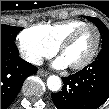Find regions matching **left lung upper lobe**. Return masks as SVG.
<instances>
[{
  "mask_svg": "<svg viewBox=\"0 0 109 109\" xmlns=\"http://www.w3.org/2000/svg\"><path fill=\"white\" fill-rule=\"evenodd\" d=\"M88 20L93 22L97 28L99 29L101 35H102V48L109 46V30L108 28L98 19V18H91L86 16Z\"/></svg>",
  "mask_w": 109,
  "mask_h": 109,
  "instance_id": "5c2ea615",
  "label": "left lung upper lobe"
}]
</instances>
